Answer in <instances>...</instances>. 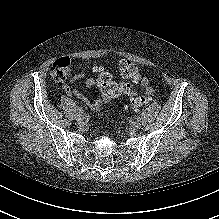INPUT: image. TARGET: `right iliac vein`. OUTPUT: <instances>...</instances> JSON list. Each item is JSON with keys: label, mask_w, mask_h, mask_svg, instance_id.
Masks as SVG:
<instances>
[{"label": "right iliac vein", "mask_w": 219, "mask_h": 219, "mask_svg": "<svg viewBox=\"0 0 219 219\" xmlns=\"http://www.w3.org/2000/svg\"><path fill=\"white\" fill-rule=\"evenodd\" d=\"M85 117V113H78L76 119L77 121L82 122L85 119Z\"/></svg>", "instance_id": "obj_1"}]
</instances>
